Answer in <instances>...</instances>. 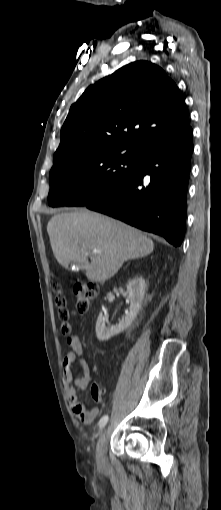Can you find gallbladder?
I'll return each instance as SVG.
<instances>
[{
    "mask_svg": "<svg viewBox=\"0 0 221 510\" xmlns=\"http://www.w3.org/2000/svg\"><path fill=\"white\" fill-rule=\"evenodd\" d=\"M71 266H72V263L70 264V269H71ZM75 270H76V268H75Z\"/></svg>",
    "mask_w": 221,
    "mask_h": 510,
    "instance_id": "1",
    "label": "gallbladder"
}]
</instances>
